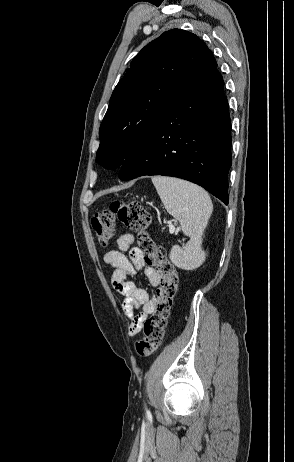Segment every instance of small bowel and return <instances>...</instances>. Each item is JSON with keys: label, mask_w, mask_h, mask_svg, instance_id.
<instances>
[{"label": "small bowel", "mask_w": 294, "mask_h": 462, "mask_svg": "<svg viewBox=\"0 0 294 462\" xmlns=\"http://www.w3.org/2000/svg\"><path fill=\"white\" fill-rule=\"evenodd\" d=\"M134 237L130 233L122 234L117 240L118 250H111L104 254V262L114 268L112 274L113 287L124 296L122 309L130 320L129 335L134 336L143 327L144 321L152 314L156 299L147 290L138 287L130 279L135 277L145 264L142 251L132 247ZM129 250V257L124 252ZM149 283L158 286V278L151 267L145 269ZM138 311L137 315L134 314Z\"/></svg>", "instance_id": "c3829d8e"}]
</instances>
